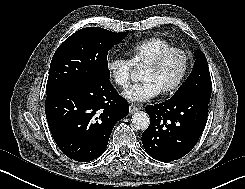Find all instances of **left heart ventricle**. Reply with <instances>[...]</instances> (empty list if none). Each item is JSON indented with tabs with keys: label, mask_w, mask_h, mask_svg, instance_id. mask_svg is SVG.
<instances>
[{
	"label": "left heart ventricle",
	"mask_w": 245,
	"mask_h": 189,
	"mask_svg": "<svg viewBox=\"0 0 245 189\" xmlns=\"http://www.w3.org/2000/svg\"><path fill=\"white\" fill-rule=\"evenodd\" d=\"M184 69V60L179 54H171L157 69L143 68L140 79L152 81L161 91L172 85Z\"/></svg>",
	"instance_id": "b2bd125f"
}]
</instances>
